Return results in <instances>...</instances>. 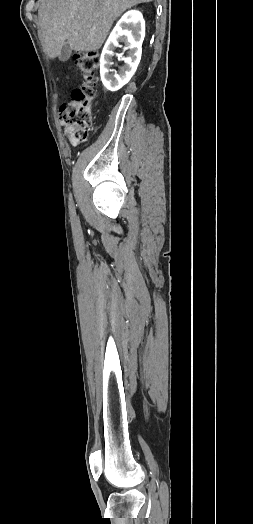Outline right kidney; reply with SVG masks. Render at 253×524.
Instances as JSON below:
<instances>
[{
  "instance_id": "1",
  "label": "right kidney",
  "mask_w": 253,
  "mask_h": 524,
  "mask_svg": "<svg viewBox=\"0 0 253 524\" xmlns=\"http://www.w3.org/2000/svg\"><path fill=\"white\" fill-rule=\"evenodd\" d=\"M145 36V21L139 11H128L117 22L106 41L100 58V76L103 85L114 92L122 88L134 75L141 59L142 42ZM119 42L126 44L127 57H123L124 66L119 74H110L113 65L114 49Z\"/></svg>"
}]
</instances>
